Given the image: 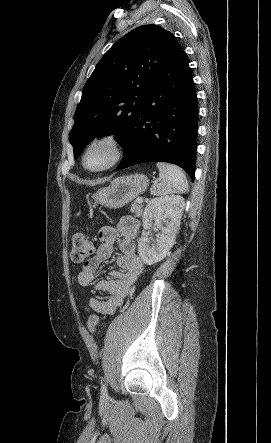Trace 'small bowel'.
Instances as JSON below:
<instances>
[{
	"instance_id": "1",
	"label": "small bowel",
	"mask_w": 271,
	"mask_h": 443,
	"mask_svg": "<svg viewBox=\"0 0 271 443\" xmlns=\"http://www.w3.org/2000/svg\"><path fill=\"white\" fill-rule=\"evenodd\" d=\"M139 222L133 217H124L118 227L104 226L99 231L100 245L95 255L90 258L78 273V282L87 287L93 284L101 265L109 260L115 247L119 250L117 269L108 272L109 279H102L95 284V290L107 293L108 297L90 298L86 311L111 316L122 305L131 285L143 271V263L137 255L135 238Z\"/></svg>"
}]
</instances>
